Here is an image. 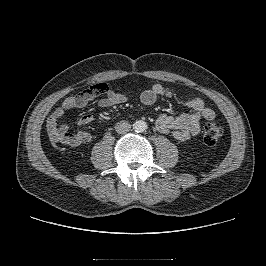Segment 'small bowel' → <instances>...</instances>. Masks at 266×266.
<instances>
[{
    "label": "small bowel",
    "instance_id": "1",
    "mask_svg": "<svg viewBox=\"0 0 266 266\" xmlns=\"http://www.w3.org/2000/svg\"><path fill=\"white\" fill-rule=\"evenodd\" d=\"M171 92L163 85L156 83L141 94V102L151 105L159 98L171 97ZM93 98L84 92L67 97L63 103L54 109L46 121V131L49 139L60 145L77 147L89 143L93 139V134L87 131H77L71 133L67 124L62 123L66 113L73 109L84 108ZM123 93L108 91L106 96L98 100L100 107L106 108L122 104L126 101ZM179 103L190 111L173 117L168 114H160L155 119L156 129L168 134L178 141H186L196 136L200 131V124L204 120H214L216 114L214 110L207 107L200 97L180 98ZM94 117L85 112L78 119V125L84 126L92 123Z\"/></svg>",
    "mask_w": 266,
    "mask_h": 266
}]
</instances>
